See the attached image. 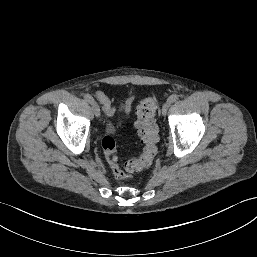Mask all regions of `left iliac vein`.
<instances>
[{
  "mask_svg": "<svg viewBox=\"0 0 257 257\" xmlns=\"http://www.w3.org/2000/svg\"><path fill=\"white\" fill-rule=\"evenodd\" d=\"M171 102L169 100H167L163 106H162V115H166L167 114V110L170 107Z\"/></svg>",
  "mask_w": 257,
  "mask_h": 257,
  "instance_id": "1",
  "label": "left iliac vein"
}]
</instances>
